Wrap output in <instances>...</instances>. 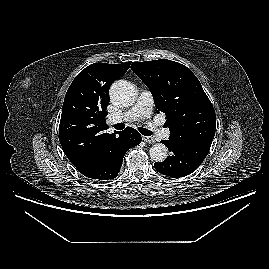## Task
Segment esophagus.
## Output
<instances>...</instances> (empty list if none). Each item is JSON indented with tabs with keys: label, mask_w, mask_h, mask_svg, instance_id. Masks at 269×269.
Returning a JSON list of instances; mask_svg holds the SVG:
<instances>
[{
	"label": "esophagus",
	"mask_w": 269,
	"mask_h": 269,
	"mask_svg": "<svg viewBox=\"0 0 269 269\" xmlns=\"http://www.w3.org/2000/svg\"><path fill=\"white\" fill-rule=\"evenodd\" d=\"M142 140L147 142V143H154L155 139L153 137L150 136H142Z\"/></svg>",
	"instance_id": "esophagus-1"
}]
</instances>
